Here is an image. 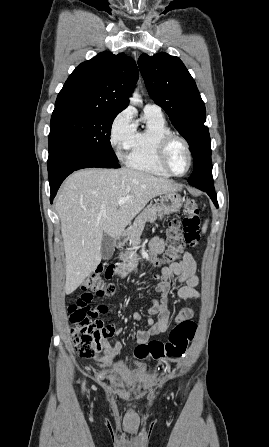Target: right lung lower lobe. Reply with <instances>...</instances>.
Wrapping results in <instances>:
<instances>
[{"mask_svg": "<svg viewBox=\"0 0 269 447\" xmlns=\"http://www.w3.org/2000/svg\"><path fill=\"white\" fill-rule=\"evenodd\" d=\"M117 162L87 150L49 140L48 174L51 203L63 180L73 171L90 167L119 168Z\"/></svg>", "mask_w": 269, "mask_h": 447, "instance_id": "right-lung-lower-lobe-1", "label": "right lung lower lobe"}]
</instances>
